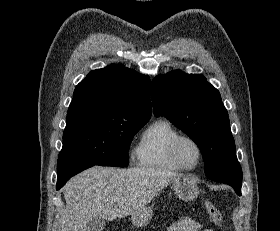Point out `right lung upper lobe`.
<instances>
[{
    "label": "right lung upper lobe",
    "instance_id": "1",
    "mask_svg": "<svg viewBox=\"0 0 280 231\" xmlns=\"http://www.w3.org/2000/svg\"><path fill=\"white\" fill-rule=\"evenodd\" d=\"M150 79L122 65L91 71L75 88L67 119L112 118L147 122Z\"/></svg>",
    "mask_w": 280,
    "mask_h": 231
}]
</instances>
